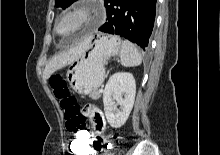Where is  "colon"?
<instances>
[{"label":"colon","instance_id":"colon-1","mask_svg":"<svg viewBox=\"0 0 220 155\" xmlns=\"http://www.w3.org/2000/svg\"><path fill=\"white\" fill-rule=\"evenodd\" d=\"M51 90L64 112L65 124L68 131L74 133L69 142V155H90L93 133L91 125L85 123V114L81 111L76 99L71 95L65 78L60 74H53L49 80ZM99 128H101L99 126ZM95 153H105L108 149H116V144H106L100 136L93 141Z\"/></svg>","mask_w":220,"mask_h":155}]
</instances>
